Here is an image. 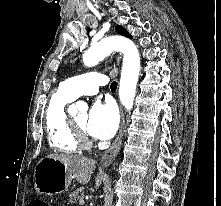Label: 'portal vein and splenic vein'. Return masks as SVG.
Wrapping results in <instances>:
<instances>
[{
  "instance_id": "18ae733b",
  "label": "portal vein and splenic vein",
  "mask_w": 221,
  "mask_h": 206,
  "mask_svg": "<svg viewBox=\"0 0 221 206\" xmlns=\"http://www.w3.org/2000/svg\"><path fill=\"white\" fill-rule=\"evenodd\" d=\"M81 204H84V200L81 201Z\"/></svg>"
}]
</instances>
